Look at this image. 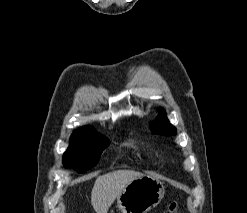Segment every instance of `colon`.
Segmentation results:
<instances>
[{"label": "colon", "mask_w": 247, "mask_h": 213, "mask_svg": "<svg viewBox=\"0 0 247 213\" xmlns=\"http://www.w3.org/2000/svg\"><path fill=\"white\" fill-rule=\"evenodd\" d=\"M165 213H179L178 204L176 202H172Z\"/></svg>", "instance_id": "obj_1"}]
</instances>
